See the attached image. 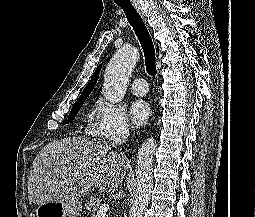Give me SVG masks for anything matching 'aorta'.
Listing matches in <instances>:
<instances>
[{"instance_id": "obj_1", "label": "aorta", "mask_w": 255, "mask_h": 217, "mask_svg": "<svg viewBox=\"0 0 255 217\" xmlns=\"http://www.w3.org/2000/svg\"><path fill=\"white\" fill-rule=\"evenodd\" d=\"M139 59L138 50L124 45L109 61L103 85V96L111 103L121 102L125 96L129 78ZM156 140L147 138L140 146L136 161V190L129 217H143L153 189V158Z\"/></svg>"}]
</instances>
